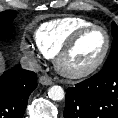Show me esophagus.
<instances>
[{"label":"esophagus","mask_w":118,"mask_h":118,"mask_svg":"<svg viewBox=\"0 0 118 118\" xmlns=\"http://www.w3.org/2000/svg\"><path fill=\"white\" fill-rule=\"evenodd\" d=\"M39 82L42 85H46V86L53 84V81L51 80V78H49L48 76H45V75H43L39 78Z\"/></svg>","instance_id":"esophagus-1"}]
</instances>
